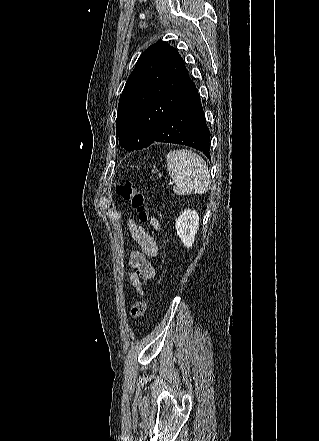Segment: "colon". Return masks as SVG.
Listing matches in <instances>:
<instances>
[{
	"label": "colon",
	"mask_w": 319,
	"mask_h": 441,
	"mask_svg": "<svg viewBox=\"0 0 319 441\" xmlns=\"http://www.w3.org/2000/svg\"><path fill=\"white\" fill-rule=\"evenodd\" d=\"M116 192L118 196L123 199L124 201H128L132 204V206L136 209L139 219L142 222H147L149 219L148 216V208L146 204V198L145 195L138 191L132 182L127 181L122 184H120L116 188ZM144 285H146V282H144ZM141 298L133 304L131 307V317L134 321L139 322L140 319L145 314V311L147 309V295L144 290L140 292Z\"/></svg>",
	"instance_id": "1"
}]
</instances>
